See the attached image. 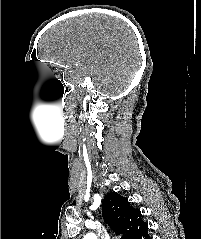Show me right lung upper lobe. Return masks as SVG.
<instances>
[{"instance_id": "cb5924a9", "label": "right lung upper lobe", "mask_w": 201, "mask_h": 239, "mask_svg": "<svg viewBox=\"0 0 201 239\" xmlns=\"http://www.w3.org/2000/svg\"><path fill=\"white\" fill-rule=\"evenodd\" d=\"M102 216L116 234H122L121 239H145L148 235V224L142 220L140 210L116 192L104 197Z\"/></svg>"}]
</instances>
